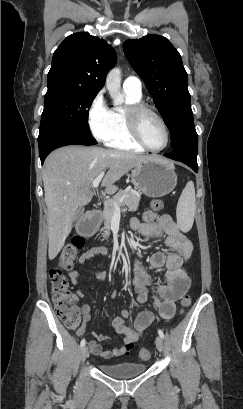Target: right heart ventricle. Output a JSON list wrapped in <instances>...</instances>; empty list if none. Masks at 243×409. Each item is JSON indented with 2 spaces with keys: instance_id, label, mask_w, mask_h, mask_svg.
<instances>
[{
  "instance_id": "obj_1",
  "label": "right heart ventricle",
  "mask_w": 243,
  "mask_h": 409,
  "mask_svg": "<svg viewBox=\"0 0 243 409\" xmlns=\"http://www.w3.org/2000/svg\"><path fill=\"white\" fill-rule=\"evenodd\" d=\"M124 95L127 105L139 103L141 101V94H134L124 90ZM113 112L117 121V129L115 133L106 141L107 145L116 149L143 152L144 148L137 144L129 134L124 116V109L115 108Z\"/></svg>"
}]
</instances>
